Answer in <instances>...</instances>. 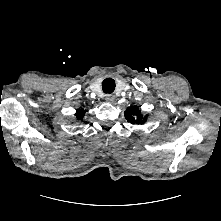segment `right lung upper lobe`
<instances>
[{
  "mask_svg": "<svg viewBox=\"0 0 221 221\" xmlns=\"http://www.w3.org/2000/svg\"><path fill=\"white\" fill-rule=\"evenodd\" d=\"M84 115H85V112L83 109H78L77 113L75 114V116L78 120H81L84 117Z\"/></svg>",
  "mask_w": 221,
  "mask_h": 221,
  "instance_id": "cb5924a9",
  "label": "right lung upper lobe"
}]
</instances>
